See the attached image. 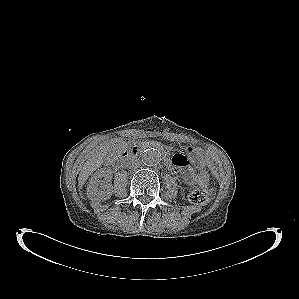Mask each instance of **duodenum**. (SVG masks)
I'll return each instance as SVG.
<instances>
[{
    "label": "duodenum",
    "instance_id": "410a0bca",
    "mask_svg": "<svg viewBox=\"0 0 299 299\" xmlns=\"http://www.w3.org/2000/svg\"><path fill=\"white\" fill-rule=\"evenodd\" d=\"M142 146L140 145H133L127 148L118 158L117 164L122 165L131 160L132 158L136 157L139 152L141 151ZM167 164L170 166V160H167Z\"/></svg>",
    "mask_w": 299,
    "mask_h": 299
}]
</instances>
